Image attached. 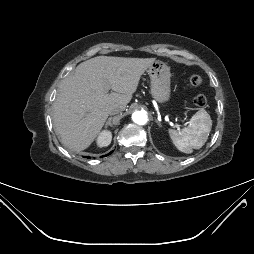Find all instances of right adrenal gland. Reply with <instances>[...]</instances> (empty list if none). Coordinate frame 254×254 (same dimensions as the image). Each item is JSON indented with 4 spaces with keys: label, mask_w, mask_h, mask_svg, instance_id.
I'll return each instance as SVG.
<instances>
[{
    "label": "right adrenal gland",
    "mask_w": 254,
    "mask_h": 254,
    "mask_svg": "<svg viewBox=\"0 0 254 254\" xmlns=\"http://www.w3.org/2000/svg\"><path fill=\"white\" fill-rule=\"evenodd\" d=\"M111 119H112V117H110V118L108 119V121L106 122V125H105L106 128H107L108 125H111V123H110Z\"/></svg>",
    "instance_id": "right-adrenal-gland-1"
}]
</instances>
